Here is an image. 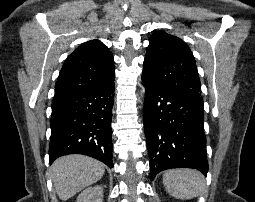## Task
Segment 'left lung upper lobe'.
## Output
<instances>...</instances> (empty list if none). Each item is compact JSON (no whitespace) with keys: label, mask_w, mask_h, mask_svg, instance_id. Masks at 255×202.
Wrapping results in <instances>:
<instances>
[{"label":"left lung upper lobe","mask_w":255,"mask_h":202,"mask_svg":"<svg viewBox=\"0 0 255 202\" xmlns=\"http://www.w3.org/2000/svg\"><path fill=\"white\" fill-rule=\"evenodd\" d=\"M142 76L163 89L202 98L191 50L180 38L163 31L155 32L150 38Z\"/></svg>","instance_id":"1"}]
</instances>
